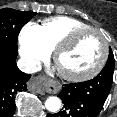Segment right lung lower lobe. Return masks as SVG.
<instances>
[{
    "mask_svg": "<svg viewBox=\"0 0 117 117\" xmlns=\"http://www.w3.org/2000/svg\"><path fill=\"white\" fill-rule=\"evenodd\" d=\"M16 58L0 51V117H12L15 112V95L27 90L31 74L20 71Z\"/></svg>",
    "mask_w": 117,
    "mask_h": 117,
    "instance_id": "obj_1",
    "label": "right lung lower lobe"
}]
</instances>
